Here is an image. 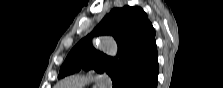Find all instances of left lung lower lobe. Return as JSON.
Listing matches in <instances>:
<instances>
[{
    "label": "left lung lower lobe",
    "mask_w": 223,
    "mask_h": 88,
    "mask_svg": "<svg viewBox=\"0 0 223 88\" xmlns=\"http://www.w3.org/2000/svg\"><path fill=\"white\" fill-rule=\"evenodd\" d=\"M158 62L157 58L139 75L131 77L120 88H157Z\"/></svg>",
    "instance_id": "left-lung-lower-lobe-1"
}]
</instances>
